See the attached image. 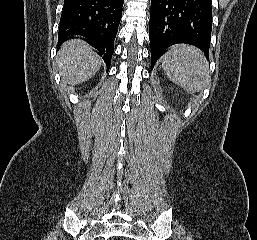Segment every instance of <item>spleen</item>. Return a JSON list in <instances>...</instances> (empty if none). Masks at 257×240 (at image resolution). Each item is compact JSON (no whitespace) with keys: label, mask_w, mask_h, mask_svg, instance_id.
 Masks as SVG:
<instances>
[{"label":"spleen","mask_w":257,"mask_h":240,"mask_svg":"<svg viewBox=\"0 0 257 240\" xmlns=\"http://www.w3.org/2000/svg\"><path fill=\"white\" fill-rule=\"evenodd\" d=\"M167 77L185 91H202L210 82V71L204 54L191 45H174L161 59Z\"/></svg>","instance_id":"obj_1"}]
</instances>
